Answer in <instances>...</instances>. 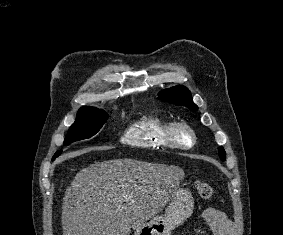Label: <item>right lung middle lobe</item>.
<instances>
[{
    "mask_svg": "<svg viewBox=\"0 0 283 235\" xmlns=\"http://www.w3.org/2000/svg\"><path fill=\"white\" fill-rule=\"evenodd\" d=\"M108 114L97 108L83 107L77 113L76 121L71 125L64 143L70 144L75 141L88 139L95 135L107 121ZM61 152H56L53 160Z\"/></svg>",
    "mask_w": 283,
    "mask_h": 235,
    "instance_id": "right-lung-middle-lobe-1",
    "label": "right lung middle lobe"
}]
</instances>
